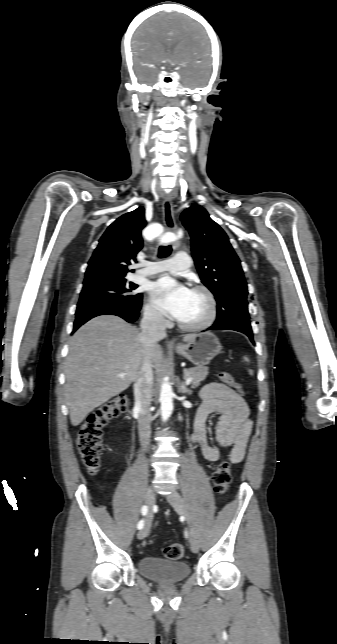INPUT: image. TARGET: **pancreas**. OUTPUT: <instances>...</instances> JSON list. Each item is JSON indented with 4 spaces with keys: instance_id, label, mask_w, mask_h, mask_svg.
<instances>
[{
    "instance_id": "1",
    "label": "pancreas",
    "mask_w": 337,
    "mask_h": 644,
    "mask_svg": "<svg viewBox=\"0 0 337 644\" xmlns=\"http://www.w3.org/2000/svg\"><path fill=\"white\" fill-rule=\"evenodd\" d=\"M207 375H208L207 367H196V368H189L184 370V377L192 378L191 383L193 388L198 387L199 384L205 380Z\"/></svg>"
}]
</instances>
